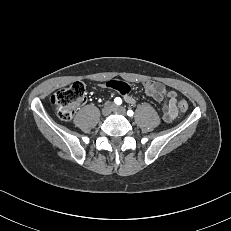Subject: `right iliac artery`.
Returning a JSON list of instances; mask_svg holds the SVG:
<instances>
[{
  "instance_id": "82829eb1",
  "label": "right iliac artery",
  "mask_w": 231,
  "mask_h": 231,
  "mask_svg": "<svg viewBox=\"0 0 231 231\" xmlns=\"http://www.w3.org/2000/svg\"><path fill=\"white\" fill-rule=\"evenodd\" d=\"M114 102H115L117 105H120V104L122 103V100H121V98L116 97V98L114 99Z\"/></svg>"
}]
</instances>
